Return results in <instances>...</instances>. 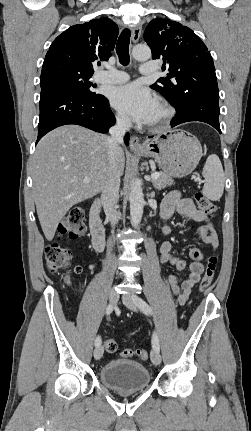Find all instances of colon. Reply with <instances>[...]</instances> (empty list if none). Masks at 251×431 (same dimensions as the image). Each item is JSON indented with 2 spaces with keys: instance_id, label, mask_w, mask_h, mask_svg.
<instances>
[{
  "instance_id": "colon-1",
  "label": "colon",
  "mask_w": 251,
  "mask_h": 431,
  "mask_svg": "<svg viewBox=\"0 0 251 431\" xmlns=\"http://www.w3.org/2000/svg\"><path fill=\"white\" fill-rule=\"evenodd\" d=\"M195 200L200 211L204 214L209 217H212L215 214L216 206L202 193H196ZM83 220L84 210L81 207L71 208L59 225V234L61 236H66L71 240L79 238L84 230ZM45 258L48 270L50 272H58L69 266L71 262V251L69 248L62 246L59 242H52L45 249ZM217 263L218 257L216 254H212L208 257L206 269L199 285V290L201 292H204L211 286L216 273ZM73 272L77 275L81 274L82 267L75 266L73 268ZM104 348L107 352H115L117 349V343L113 339H106L104 341ZM121 355L125 358L136 356L144 361L149 358L148 351L141 348L124 349L121 352Z\"/></svg>"
}]
</instances>
